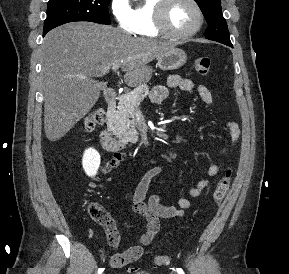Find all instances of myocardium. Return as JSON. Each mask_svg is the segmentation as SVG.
Listing matches in <instances>:
<instances>
[{
	"instance_id": "1",
	"label": "myocardium",
	"mask_w": 289,
	"mask_h": 274,
	"mask_svg": "<svg viewBox=\"0 0 289 274\" xmlns=\"http://www.w3.org/2000/svg\"><path fill=\"white\" fill-rule=\"evenodd\" d=\"M193 7L196 10L198 20L196 26L186 32H177L170 28L168 24V10L170 5L174 2V0H159L158 4L155 7L154 12V22L156 28L161 32L163 35L174 38V39H186L194 36L197 34L200 29L202 28V25L204 23V13L200 6V4L197 2V0H188Z\"/></svg>"
}]
</instances>
